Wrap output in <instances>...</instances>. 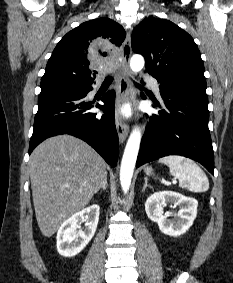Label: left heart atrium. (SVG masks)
I'll return each mask as SVG.
<instances>
[{"mask_svg":"<svg viewBox=\"0 0 233 283\" xmlns=\"http://www.w3.org/2000/svg\"><path fill=\"white\" fill-rule=\"evenodd\" d=\"M118 112L123 115V116H128L130 113L129 107L128 106H123L118 109Z\"/></svg>","mask_w":233,"mask_h":283,"instance_id":"1","label":"left heart atrium"}]
</instances>
